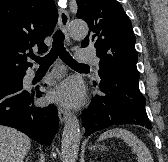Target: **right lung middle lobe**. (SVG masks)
<instances>
[{"mask_svg": "<svg viewBox=\"0 0 168 162\" xmlns=\"http://www.w3.org/2000/svg\"><path fill=\"white\" fill-rule=\"evenodd\" d=\"M21 74L0 77V84L9 80L20 78Z\"/></svg>", "mask_w": 168, "mask_h": 162, "instance_id": "obj_1", "label": "right lung middle lobe"}]
</instances>
